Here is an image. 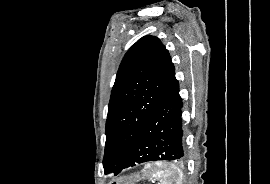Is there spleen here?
<instances>
[{
	"instance_id": "1",
	"label": "spleen",
	"mask_w": 270,
	"mask_h": 184,
	"mask_svg": "<svg viewBox=\"0 0 270 184\" xmlns=\"http://www.w3.org/2000/svg\"><path fill=\"white\" fill-rule=\"evenodd\" d=\"M143 175L160 180V184H182V172L175 165L166 166L160 162L148 164L143 170Z\"/></svg>"
}]
</instances>
